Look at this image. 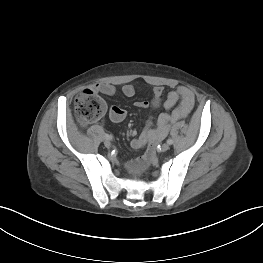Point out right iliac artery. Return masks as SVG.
Instances as JSON below:
<instances>
[{
    "instance_id": "82829eb1",
    "label": "right iliac artery",
    "mask_w": 263,
    "mask_h": 263,
    "mask_svg": "<svg viewBox=\"0 0 263 263\" xmlns=\"http://www.w3.org/2000/svg\"><path fill=\"white\" fill-rule=\"evenodd\" d=\"M104 137H105L106 139H108V140H112V136L109 135V134H105Z\"/></svg>"
}]
</instances>
